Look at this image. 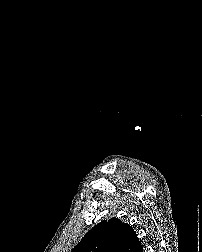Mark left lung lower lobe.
<instances>
[{"label": "left lung lower lobe", "instance_id": "0a47b994", "mask_svg": "<svg viewBox=\"0 0 202 252\" xmlns=\"http://www.w3.org/2000/svg\"><path fill=\"white\" fill-rule=\"evenodd\" d=\"M136 252H143V248H142L141 242L139 243V246L136 249Z\"/></svg>", "mask_w": 202, "mask_h": 252}]
</instances>
